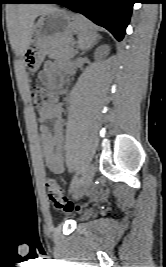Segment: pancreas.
Returning a JSON list of instances; mask_svg holds the SVG:
<instances>
[{
  "instance_id": "1",
  "label": "pancreas",
  "mask_w": 166,
  "mask_h": 267,
  "mask_svg": "<svg viewBox=\"0 0 166 267\" xmlns=\"http://www.w3.org/2000/svg\"><path fill=\"white\" fill-rule=\"evenodd\" d=\"M48 53L52 59H70L74 57L75 50L69 44L68 39H59L51 45Z\"/></svg>"
}]
</instances>
